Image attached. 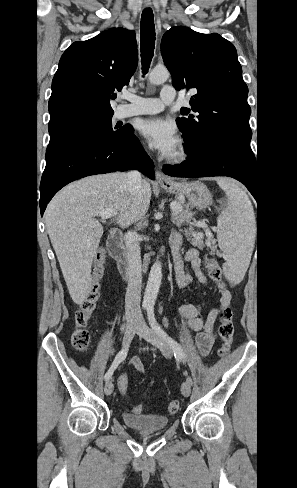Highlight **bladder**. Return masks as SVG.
<instances>
[{"instance_id": "obj_1", "label": "bladder", "mask_w": 297, "mask_h": 488, "mask_svg": "<svg viewBox=\"0 0 297 488\" xmlns=\"http://www.w3.org/2000/svg\"><path fill=\"white\" fill-rule=\"evenodd\" d=\"M121 418L129 428L141 432H156L166 428L169 419L166 416L157 414L135 415L122 413Z\"/></svg>"}]
</instances>
